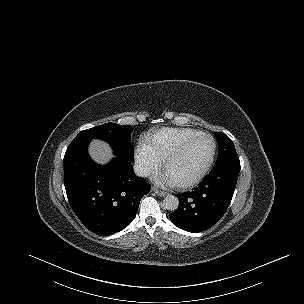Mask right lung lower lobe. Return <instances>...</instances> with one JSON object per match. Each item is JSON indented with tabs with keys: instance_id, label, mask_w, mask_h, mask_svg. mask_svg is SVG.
I'll return each mask as SVG.
<instances>
[{
	"instance_id": "obj_1",
	"label": "right lung lower lobe",
	"mask_w": 304,
	"mask_h": 304,
	"mask_svg": "<svg viewBox=\"0 0 304 304\" xmlns=\"http://www.w3.org/2000/svg\"><path fill=\"white\" fill-rule=\"evenodd\" d=\"M90 140H73L64 156V185L70 206L91 232L108 236L133 220L151 186L117 155L105 166L91 160Z\"/></svg>"
}]
</instances>
